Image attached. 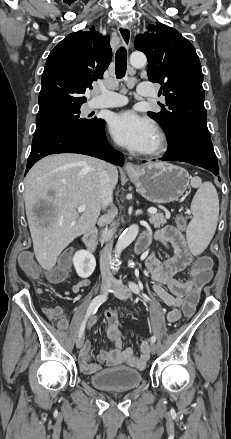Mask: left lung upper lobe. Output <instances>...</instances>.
Returning a JSON list of instances; mask_svg holds the SVG:
<instances>
[{"label": "left lung upper lobe", "instance_id": "5c2ea615", "mask_svg": "<svg viewBox=\"0 0 231 439\" xmlns=\"http://www.w3.org/2000/svg\"><path fill=\"white\" fill-rule=\"evenodd\" d=\"M135 48L148 58V78L161 84L170 111L148 112L164 129L167 139L182 134L210 138L201 64L193 45L171 27L157 23L135 39Z\"/></svg>", "mask_w": 231, "mask_h": 439}]
</instances>
